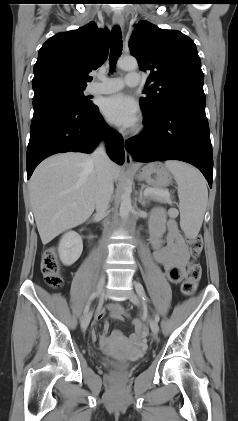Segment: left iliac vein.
<instances>
[{"instance_id":"1","label":"left iliac vein","mask_w":238,"mask_h":421,"mask_svg":"<svg viewBox=\"0 0 238 421\" xmlns=\"http://www.w3.org/2000/svg\"><path fill=\"white\" fill-rule=\"evenodd\" d=\"M129 299L133 304H135V305L139 304V299L134 292H130ZM149 323H150V328H151L152 334L154 336H156L159 332V325H158L157 321L150 318Z\"/></svg>"}]
</instances>
